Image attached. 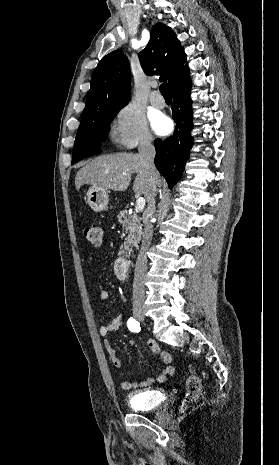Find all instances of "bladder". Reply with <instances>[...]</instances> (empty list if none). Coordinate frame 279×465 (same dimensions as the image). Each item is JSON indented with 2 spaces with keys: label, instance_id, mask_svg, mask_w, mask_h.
Returning <instances> with one entry per match:
<instances>
[{
  "label": "bladder",
  "instance_id": "1",
  "mask_svg": "<svg viewBox=\"0 0 279 465\" xmlns=\"http://www.w3.org/2000/svg\"><path fill=\"white\" fill-rule=\"evenodd\" d=\"M166 395L161 390H144L128 395V404L133 411H153L161 409Z\"/></svg>",
  "mask_w": 279,
  "mask_h": 465
}]
</instances>
